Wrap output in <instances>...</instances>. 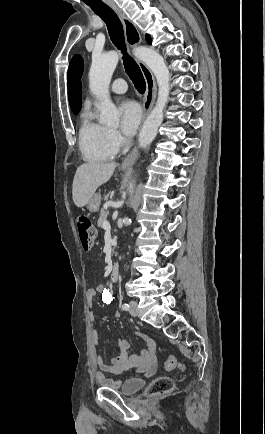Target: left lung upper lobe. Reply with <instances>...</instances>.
<instances>
[{"instance_id":"1","label":"left lung upper lobe","mask_w":265,"mask_h":434,"mask_svg":"<svg viewBox=\"0 0 265 434\" xmlns=\"http://www.w3.org/2000/svg\"><path fill=\"white\" fill-rule=\"evenodd\" d=\"M146 40H147L148 43H151V38H150L149 35L146 36Z\"/></svg>"}]
</instances>
